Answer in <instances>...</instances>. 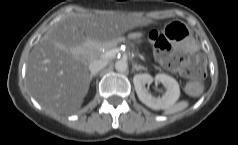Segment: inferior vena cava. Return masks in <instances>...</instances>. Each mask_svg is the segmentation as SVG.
Segmentation results:
<instances>
[{
    "label": "inferior vena cava",
    "instance_id": "1",
    "mask_svg": "<svg viewBox=\"0 0 238 145\" xmlns=\"http://www.w3.org/2000/svg\"><path fill=\"white\" fill-rule=\"evenodd\" d=\"M106 65H107L106 60L97 59V60L92 61L89 64V70H90L91 74H96L97 72L102 70L104 67H106Z\"/></svg>",
    "mask_w": 238,
    "mask_h": 145
}]
</instances>
